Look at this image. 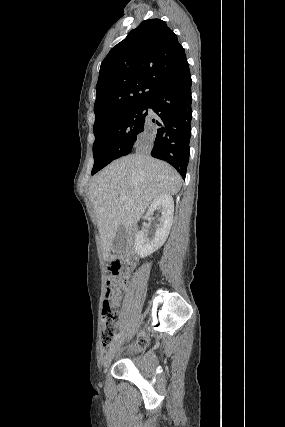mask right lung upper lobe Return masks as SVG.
<instances>
[{
    "instance_id": "obj_1",
    "label": "right lung upper lobe",
    "mask_w": 285,
    "mask_h": 427,
    "mask_svg": "<svg viewBox=\"0 0 285 427\" xmlns=\"http://www.w3.org/2000/svg\"><path fill=\"white\" fill-rule=\"evenodd\" d=\"M189 73L184 48L160 19L143 21L102 61L96 85L94 127L148 102Z\"/></svg>"
}]
</instances>
